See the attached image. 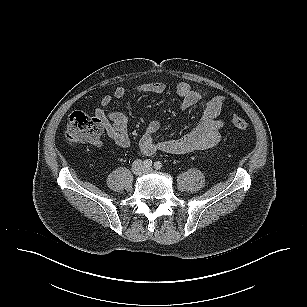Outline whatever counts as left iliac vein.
<instances>
[{
    "instance_id": "1",
    "label": "left iliac vein",
    "mask_w": 307,
    "mask_h": 307,
    "mask_svg": "<svg viewBox=\"0 0 307 307\" xmlns=\"http://www.w3.org/2000/svg\"><path fill=\"white\" fill-rule=\"evenodd\" d=\"M145 171L150 172V171H152V169L151 168H147V169H145Z\"/></svg>"
}]
</instances>
